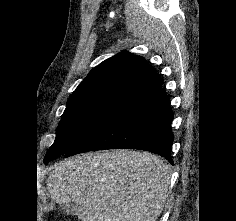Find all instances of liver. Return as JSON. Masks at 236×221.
<instances>
[{
	"mask_svg": "<svg viewBox=\"0 0 236 221\" xmlns=\"http://www.w3.org/2000/svg\"><path fill=\"white\" fill-rule=\"evenodd\" d=\"M170 178L169 164L149 152H90L55 165L47 190L61 205L74 202L82 221H156Z\"/></svg>",
	"mask_w": 236,
	"mask_h": 221,
	"instance_id": "1",
	"label": "liver"
}]
</instances>
